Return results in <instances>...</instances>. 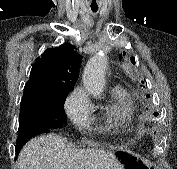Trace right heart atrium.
<instances>
[{
	"label": "right heart atrium",
	"instance_id": "obj_1",
	"mask_svg": "<svg viewBox=\"0 0 177 169\" xmlns=\"http://www.w3.org/2000/svg\"><path fill=\"white\" fill-rule=\"evenodd\" d=\"M65 111L78 129H84L92 120L93 105L82 88H75L65 101Z\"/></svg>",
	"mask_w": 177,
	"mask_h": 169
}]
</instances>
